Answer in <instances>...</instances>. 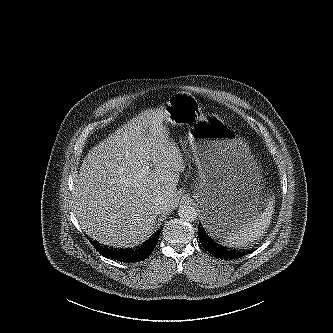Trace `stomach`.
<instances>
[{"mask_svg":"<svg viewBox=\"0 0 333 333\" xmlns=\"http://www.w3.org/2000/svg\"><path fill=\"white\" fill-rule=\"evenodd\" d=\"M164 111L167 121L190 127L188 140L199 173L193 195L202 208L205 231L222 243L268 208L270 190L261 167L243 138L220 119L204 117L191 94L172 95Z\"/></svg>","mask_w":333,"mask_h":333,"instance_id":"0dacf381","label":"stomach"}]
</instances>
